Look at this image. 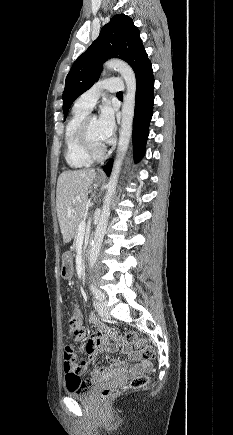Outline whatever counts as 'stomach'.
Instances as JSON below:
<instances>
[{"label":"stomach","instance_id":"0dacf381","mask_svg":"<svg viewBox=\"0 0 233 435\" xmlns=\"http://www.w3.org/2000/svg\"><path fill=\"white\" fill-rule=\"evenodd\" d=\"M96 183L100 184L102 182V179L99 177H96ZM74 270H73V260L70 253H65L62 256V266L60 270V275L63 279H71L73 276Z\"/></svg>","mask_w":233,"mask_h":435}]
</instances>
